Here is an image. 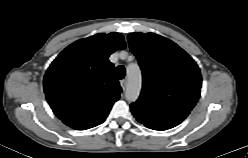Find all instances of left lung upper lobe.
Segmentation results:
<instances>
[{
	"label": "left lung upper lobe",
	"mask_w": 248,
	"mask_h": 158,
	"mask_svg": "<svg viewBox=\"0 0 248 158\" xmlns=\"http://www.w3.org/2000/svg\"><path fill=\"white\" fill-rule=\"evenodd\" d=\"M129 47L138 58L143 85L132 114L146 127L167 130L180 124L196 105L201 73L177 44L154 33H131Z\"/></svg>",
	"instance_id": "obj_1"
}]
</instances>
